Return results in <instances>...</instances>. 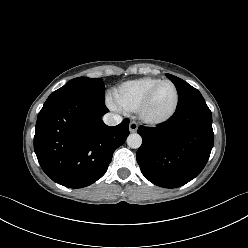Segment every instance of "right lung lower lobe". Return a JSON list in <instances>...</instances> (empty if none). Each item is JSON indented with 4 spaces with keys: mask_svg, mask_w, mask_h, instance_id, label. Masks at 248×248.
I'll use <instances>...</instances> for the list:
<instances>
[{
    "mask_svg": "<svg viewBox=\"0 0 248 248\" xmlns=\"http://www.w3.org/2000/svg\"><path fill=\"white\" fill-rule=\"evenodd\" d=\"M104 102L87 95L48 98L38 114L34 150L42 170L70 188L86 187L107 171L114 151L129 135V120L109 127Z\"/></svg>",
    "mask_w": 248,
    "mask_h": 248,
    "instance_id": "98d812e1",
    "label": "right lung lower lobe"
}]
</instances>
